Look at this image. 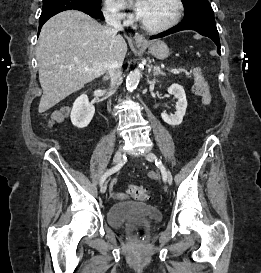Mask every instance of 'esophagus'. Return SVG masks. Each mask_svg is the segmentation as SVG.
I'll return each instance as SVG.
<instances>
[{
  "label": "esophagus",
  "instance_id": "1",
  "mask_svg": "<svg viewBox=\"0 0 261 273\" xmlns=\"http://www.w3.org/2000/svg\"><path fill=\"white\" fill-rule=\"evenodd\" d=\"M134 39H135V42L139 44L143 43L145 40L144 36L141 34H135Z\"/></svg>",
  "mask_w": 261,
  "mask_h": 273
}]
</instances>
